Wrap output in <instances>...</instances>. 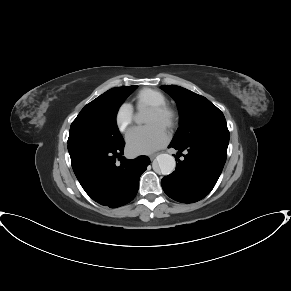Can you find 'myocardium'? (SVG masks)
Returning a JSON list of instances; mask_svg holds the SVG:
<instances>
[{
    "label": "myocardium",
    "instance_id": "myocardium-1",
    "mask_svg": "<svg viewBox=\"0 0 291 291\" xmlns=\"http://www.w3.org/2000/svg\"><path fill=\"white\" fill-rule=\"evenodd\" d=\"M149 110L157 113L163 121L164 127L173 129L176 127L179 116L177 111L168 105L150 106Z\"/></svg>",
    "mask_w": 291,
    "mask_h": 291
}]
</instances>
